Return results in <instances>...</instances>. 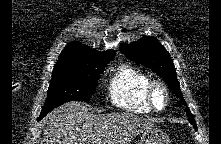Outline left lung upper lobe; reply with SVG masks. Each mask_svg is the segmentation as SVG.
Returning a JSON list of instances; mask_svg holds the SVG:
<instances>
[{
	"label": "left lung upper lobe",
	"mask_w": 221,
	"mask_h": 144,
	"mask_svg": "<svg viewBox=\"0 0 221 144\" xmlns=\"http://www.w3.org/2000/svg\"><path fill=\"white\" fill-rule=\"evenodd\" d=\"M120 49L130 60L154 70L176 96L181 99L183 104L186 105L180 90V84L176 77L174 63L167 50L156 38L152 36L143 37L132 44H123ZM186 109L189 122L196 129L194 117L189 108L187 107Z\"/></svg>",
	"instance_id": "obj_1"
}]
</instances>
